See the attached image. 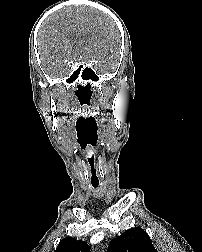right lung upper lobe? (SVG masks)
I'll list each match as a JSON object with an SVG mask.
<instances>
[{
    "label": "right lung upper lobe",
    "mask_w": 202,
    "mask_h": 252,
    "mask_svg": "<svg viewBox=\"0 0 202 252\" xmlns=\"http://www.w3.org/2000/svg\"><path fill=\"white\" fill-rule=\"evenodd\" d=\"M55 252H90V249L86 242L67 237L60 241Z\"/></svg>",
    "instance_id": "obj_1"
}]
</instances>
